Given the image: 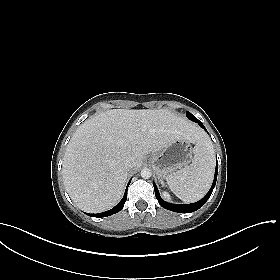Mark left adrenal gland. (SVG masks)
I'll return each instance as SVG.
<instances>
[{
    "label": "left adrenal gland",
    "mask_w": 280,
    "mask_h": 280,
    "mask_svg": "<svg viewBox=\"0 0 280 280\" xmlns=\"http://www.w3.org/2000/svg\"><path fill=\"white\" fill-rule=\"evenodd\" d=\"M160 182H161L162 186H165V183H164V181L162 179L160 180Z\"/></svg>",
    "instance_id": "obj_1"
}]
</instances>
